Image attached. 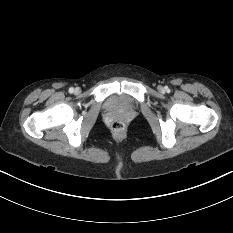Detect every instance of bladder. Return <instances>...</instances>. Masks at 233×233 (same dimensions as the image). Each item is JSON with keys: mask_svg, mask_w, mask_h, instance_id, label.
I'll use <instances>...</instances> for the list:
<instances>
[{"mask_svg": "<svg viewBox=\"0 0 233 233\" xmlns=\"http://www.w3.org/2000/svg\"><path fill=\"white\" fill-rule=\"evenodd\" d=\"M106 106L111 110L125 111L132 108V100L125 94H112L106 100Z\"/></svg>", "mask_w": 233, "mask_h": 233, "instance_id": "1", "label": "bladder"}]
</instances>
